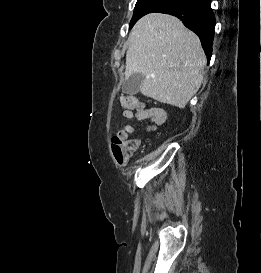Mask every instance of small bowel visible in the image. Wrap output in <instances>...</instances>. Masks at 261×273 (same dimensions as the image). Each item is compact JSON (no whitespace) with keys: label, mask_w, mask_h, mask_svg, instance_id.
I'll return each mask as SVG.
<instances>
[{"label":"small bowel","mask_w":261,"mask_h":273,"mask_svg":"<svg viewBox=\"0 0 261 273\" xmlns=\"http://www.w3.org/2000/svg\"><path fill=\"white\" fill-rule=\"evenodd\" d=\"M123 117L127 120L137 119L140 121L150 120V124L147 126L149 131H156L166 121V112L162 108H148L144 109L142 113H136L132 109L124 107ZM126 134H132L134 128L131 125L124 127Z\"/></svg>","instance_id":"obj_1"}]
</instances>
